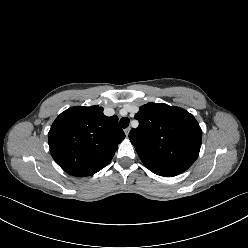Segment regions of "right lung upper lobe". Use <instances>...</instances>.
I'll list each match as a JSON object with an SVG mask.
<instances>
[{"mask_svg": "<svg viewBox=\"0 0 248 248\" xmlns=\"http://www.w3.org/2000/svg\"><path fill=\"white\" fill-rule=\"evenodd\" d=\"M124 138L118 117L105 116L103 108L97 105L65 110L48 133L55 162L78 177L93 175L108 165Z\"/></svg>", "mask_w": 248, "mask_h": 248, "instance_id": "right-lung-upper-lobe-1", "label": "right lung upper lobe"}]
</instances>
